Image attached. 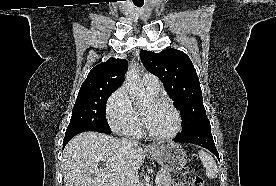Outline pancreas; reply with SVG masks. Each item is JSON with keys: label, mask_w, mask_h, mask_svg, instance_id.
<instances>
[{"label": "pancreas", "mask_w": 276, "mask_h": 186, "mask_svg": "<svg viewBox=\"0 0 276 186\" xmlns=\"http://www.w3.org/2000/svg\"><path fill=\"white\" fill-rule=\"evenodd\" d=\"M157 175L161 177L158 186H171V175L168 171L161 170Z\"/></svg>", "instance_id": "1"}]
</instances>
